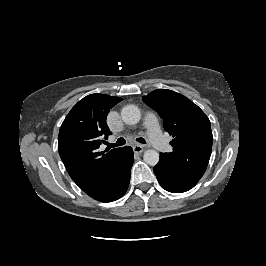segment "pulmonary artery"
Here are the masks:
<instances>
[{
	"label": "pulmonary artery",
	"mask_w": 266,
	"mask_h": 266,
	"mask_svg": "<svg viewBox=\"0 0 266 266\" xmlns=\"http://www.w3.org/2000/svg\"><path fill=\"white\" fill-rule=\"evenodd\" d=\"M143 123L152 146L158 150H163L166 146V140L162 134L157 116L153 112H147Z\"/></svg>",
	"instance_id": "obj_1"
}]
</instances>
